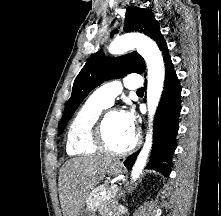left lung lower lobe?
Returning <instances> with one entry per match:
<instances>
[{"mask_svg":"<svg viewBox=\"0 0 221 216\" xmlns=\"http://www.w3.org/2000/svg\"><path fill=\"white\" fill-rule=\"evenodd\" d=\"M159 49L164 56L165 84L161 102L154 118L153 151L147 168L155 169L168 177L172 156L176 149V135L179 129L181 87L173 68L166 42ZM138 153L139 151L125 160L124 164L128 169H131Z\"/></svg>","mask_w":221,"mask_h":216,"instance_id":"0a47b994","label":"left lung lower lobe"}]
</instances>
